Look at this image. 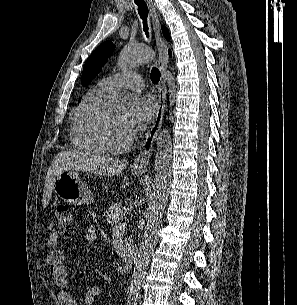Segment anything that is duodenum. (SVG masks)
<instances>
[{
    "mask_svg": "<svg viewBox=\"0 0 297 305\" xmlns=\"http://www.w3.org/2000/svg\"><path fill=\"white\" fill-rule=\"evenodd\" d=\"M135 258H136L135 250L134 249L128 250V252L126 253L124 265H123V269L126 273H129L132 270L134 262H135Z\"/></svg>",
    "mask_w": 297,
    "mask_h": 305,
    "instance_id": "410a0bca",
    "label": "duodenum"
}]
</instances>
